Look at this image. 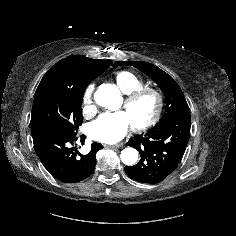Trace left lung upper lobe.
<instances>
[{
  "label": "left lung upper lobe",
  "instance_id": "left-lung-upper-lobe-1",
  "mask_svg": "<svg viewBox=\"0 0 236 236\" xmlns=\"http://www.w3.org/2000/svg\"><path fill=\"white\" fill-rule=\"evenodd\" d=\"M134 66L153 81H155L165 94L166 107L161 120L152 128L157 129L177 116L190 115L186 99L175 80L157 66L143 61H117V66Z\"/></svg>",
  "mask_w": 236,
  "mask_h": 236
}]
</instances>
